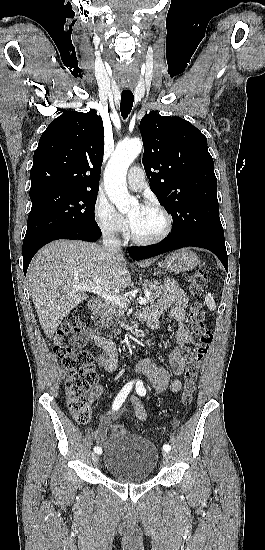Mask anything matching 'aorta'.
Returning <instances> with one entry per match:
<instances>
[{
  "instance_id": "obj_1",
  "label": "aorta",
  "mask_w": 265,
  "mask_h": 550,
  "mask_svg": "<svg viewBox=\"0 0 265 550\" xmlns=\"http://www.w3.org/2000/svg\"><path fill=\"white\" fill-rule=\"evenodd\" d=\"M142 141L138 138L117 145L104 172V186L111 202L121 213H126L137 203L131 197L126 184L129 166L142 150Z\"/></svg>"
}]
</instances>
